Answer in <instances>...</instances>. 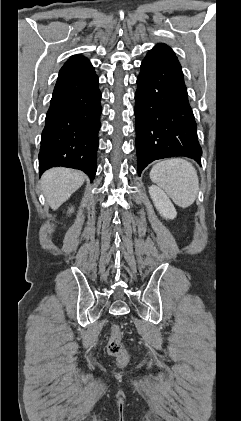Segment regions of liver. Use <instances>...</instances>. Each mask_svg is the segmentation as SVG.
<instances>
[{"mask_svg":"<svg viewBox=\"0 0 241 421\" xmlns=\"http://www.w3.org/2000/svg\"><path fill=\"white\" fill-rule=\"evenodd\" d=\"M85 181L83 173L68 168H53L41 178V190L47 204L53 209L59 208Z\"/></svg>","mask_w":241,"mask_h":421,"instance_id":"1","label":"liver"}]
</instances>
